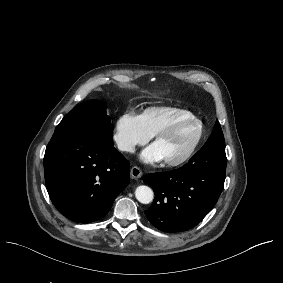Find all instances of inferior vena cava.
Returning <instances> with one entry per match:
<instances>
[{
	"label": "inferior vena cava",
	"instance_id": "1",
	"mask_svg": "<svg viewBox=\"0 0 283 283\" xmlns=\"http://www.w3.org/2000/svg\"><path fill=\"white\" fill-rule=\"evenodd\" d=\"M118 148L121 151L132 152L134 151V146L129 143H119Z\"/></svg>",
	"mask_w": 283,
	"mask_h": 283
}]
</instances>
